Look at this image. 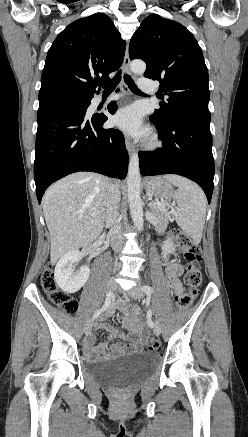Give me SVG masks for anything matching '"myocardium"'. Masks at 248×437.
I'll return each mask as SVG.
<instances>
[{
	"mask_svg": "<svg viewBox=\"0 0 248 437\" xmlns=\"http://www.w3.org/2000/svg\"><path fill=\"white\" fill-rule=\"evenodd\" d=\"M159 145H160V142L155 137H152L146 144V146L150 149L157 148V147H159Z\"/></svg>",
	"mask_w": 248,
	"mask_h": 437,
	"instance_id": "myocardium-1",
	"label": "myocardium"
}]
</instances>
